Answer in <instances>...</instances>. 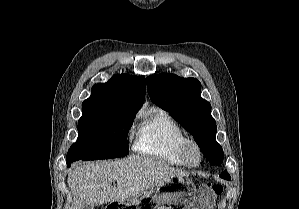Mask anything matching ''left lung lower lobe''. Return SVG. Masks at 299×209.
I'll use <instances>...</instances> for the list:
<instances>
[{
  "instance_id": "1",
  "label": "left lung lower lobe",
  "mask_w": 299,
  "mask_h": 209,
  "mask_svg": "<svg viewBox=\"0 0 299 209\" xmlns=\"http://www.w3.org/2000/svg\"><path fill=\"white\" fill-rule=\"evenodd\" d=\"M220 177L226 180H231V177L227 171H224L220 174Z\"/></svg>"
}]
</instances>
